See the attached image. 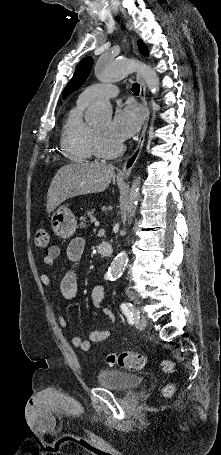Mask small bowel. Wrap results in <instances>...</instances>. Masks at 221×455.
Returning <instances> with one entry per match:
<instances>
[{
    "instance_id": "1",
    "label": "small bowel",
    "mask_w": 221,
    "mask_h": 455,
    "mask_svg": "<svg viewBox=\"0 0 221 455\" xmlns=\"http://www.w3.org/2000/svg\"><path fill=\"white\" fill-rule=\"evenodd\" d=\"M85 250V242L81 238L73 239L67 249H66V258L70 263L69 271L65 274L61 280L59 289L66 300H73L77 294V277H76V267L80 261ZM62 254V250L57 246H52L51 249L46 251L43 257V264L46 267H51L54 261L59 258ZM40 282L46 286L51 287V280L45 272L39 274ZM103 297H104V288L102 285H96L91 292V304L95 309L101 310L103 314L108 318V320L113 323L115 321L114 313L103 307ZM58 324L62 328L67 327V321L64 316L59 315L57 317ZM110 332L108 330H96L91 332L89 339H82L79 336H74L72 338V344L80 348L83 351H88L91 348L92 343H97L106 340L109 338Z\"/></svg>"
}]
</instances>
